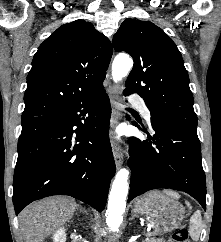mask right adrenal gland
<instances>
[{
	"label": "right adrenal gland",
	"mask_w": 221,
	"mask_h": 242,
	"mask_svg": "<svg viewBox=\"0 0 221 242\" xmlns=\"http://www.w3.org/2000/svg\"><path fill=\"white\" fill-rule=\"evenodd\" d=\"M78 210L82 213H84L85 215H88V212L81 206H78Z\"/></svg>",
	"instance_id": "1"
}]
</instances>
